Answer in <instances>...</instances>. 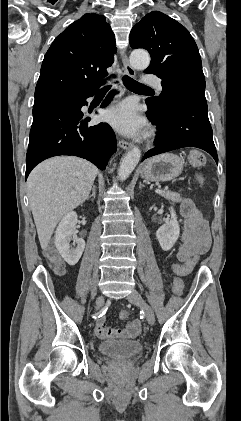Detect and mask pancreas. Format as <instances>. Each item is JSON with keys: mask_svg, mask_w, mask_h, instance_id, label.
<instances>
[{"mask_svg": "<svg viewBox=\"0 0 241 421\" xmlns=\"http://www.w3.org/2000/svg\"><path fill=\"white\" fill-rule=\"evenodd\" d=\"M159 194L162 197H164V198H166V199H168L172 202H175V203L181 202V200H182V197L179 193L172 192V191H169V190H161V193H159Z\"/></svg>", "mask_w": 241, "mask_h": 421, "instance_id": "1", "label": "pancreas"}]
</instances>
